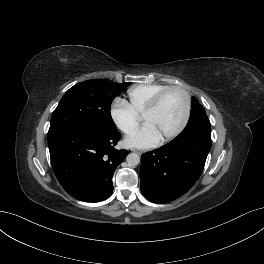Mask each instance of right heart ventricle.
I'll use <instances>...</instances> for the list:
<instances>
[{"label": "right heart ventricle", "instance_id": "right-heart-ventricle-1", "mask_svg": "<svg viewBox=\"0 0 264 264\" xmlns=\"http://www.w3.org/2000/svg\"><path fill=\"white\" fill-rule=\"evenodd\" d=\"M168 87L165 84H142L130 88L127 91L128 104L141 115L157 93Z\"/></svg>", "mask_w": 264, "mask_h": 264}]
</instances>
